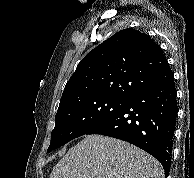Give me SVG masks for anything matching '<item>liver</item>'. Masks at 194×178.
Returning a JSON list of instances; mask_svg holds the SVG:
<instances>
[{"label": "liver", "mask_w": 194, "mask_h": 178, "mask_svg": "<svg viewBox=\"0 0 194 178\" xmlns=\"http://www.w3.org/2000/svg\"><path fill=\"white\" fill-rule=\"evenodd\" d=\"M50 178H164L154 157L119 139L87 135L53 168Z\"/></svg>", "instance_id": "liver-1"}]
</instances>
